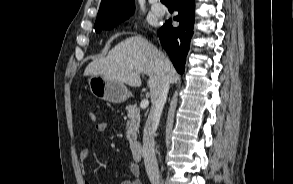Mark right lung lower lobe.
<instances>
[{"label":"right lung lower lobe","instance_id":"1","mask_svg":"<svg viewBox=\"0 0 293 184\" xmlns=\"http://www.w3.org/2000/svg\"><path fill=\"white\" fill-rule=\"evenodd\" d=\"M178 15L174 17L180 24L177 28L171 26V20L166 21L158 31L160 42L176 68L182 74L186 54L189 50L190 40L193 34L194 0H172Z\"/></svg>","mask_w":293,"mask_h":184}]
</instances>
